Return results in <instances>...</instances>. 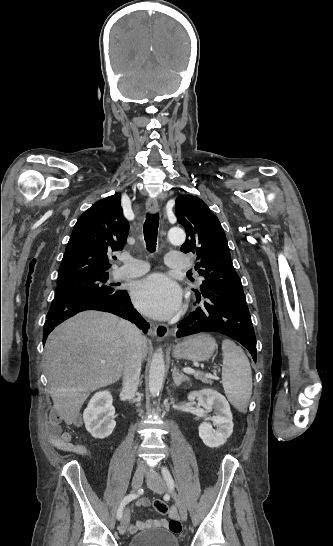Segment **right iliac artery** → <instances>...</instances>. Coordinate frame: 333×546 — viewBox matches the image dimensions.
<instances>
[{"label":"right iliac artery","mask_w":333,"mask_h":546,"mask_svg":"<svg viewBox=\"0 0 333 546\" xmlns=\"http://www.w3.org/2000/svg\"><path fill=\"white\" fill-rule=\"evenodd\" d=\"M142 492H139V493H132V494H128L127 496H125L118 508V511H117V519L120 520L122 518V515H123V509L124 507L130 502L132 501L133 499L137 498L139 495H141Z\"/></svg>","instance_id":"82829eb1"}]
</instances>
